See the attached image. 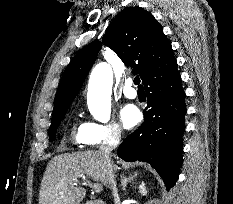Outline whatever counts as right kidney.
I'll list each match as a JSON object with an SVG mask.
<instances>
[{"instance_id": "obj_1", "label": "right kidney", "mask_w": 233, "mask_h": 204, "mask_svg": "<svg viewBox=\"0 0 233 204\" xmlns=\"http://www.w3.org/2000/svg\"><path fill=\"white\" fill-rule=\"evenodd\" d=\"M140 193L145 196L147 194V190L145 187V184L142 182L141 185H139Z\"/></svg>"}]
</instances>
